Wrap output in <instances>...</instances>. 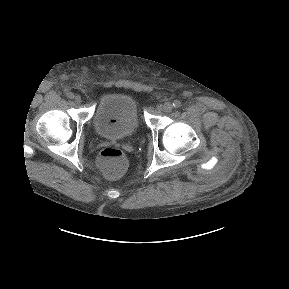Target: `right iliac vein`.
Wrapping results in <instances>:
<instances>
[{"mask_svg": "<svg viewBox=\"0 0 289 289\" xmlns=\"http://www.w3.org/2000/svg\"><path fill=\"white\" fill-rule=\"evenodd\" d=\"M74 101H75L77 104H80V103L82 102L81 96L76 95L75 98H74Z\"/></svg>", "mask_w": 289, "mask_h": 289, "instance_id": "right-iliac-vein-1", "label": "right iliac vein"}]
</instances>
